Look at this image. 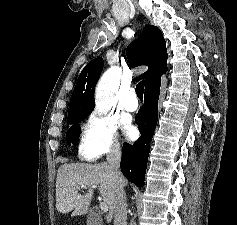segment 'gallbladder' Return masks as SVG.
Listing matches in <instances>:
<instances>
[{
  "instance_id": "bac80fb5",
  "label": "gallbladder",
  "mask_w": 237,
  "mask_h": 225,
  "mask_svg": "<svg viewBox=\"0 0 237 225\" xmlns=\"http://www.w3.org/2000/svg\"><path fill=\"white\" fill-rule=\"evenodd\" d=\"M87 225H101V219L98 216H89L87 219Z\"/></svg>"
}]
</instances>
